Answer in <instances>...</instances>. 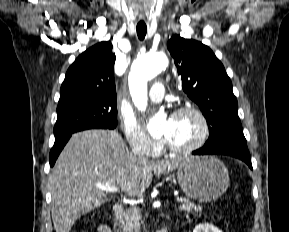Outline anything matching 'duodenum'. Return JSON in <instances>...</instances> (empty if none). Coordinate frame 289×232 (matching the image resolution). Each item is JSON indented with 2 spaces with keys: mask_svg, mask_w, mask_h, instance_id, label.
<instances>
[{
  "mask_svg": "<svg viewBox=\"0 0 289 232\" xmlns=\"http://www.w3.org/2000/svg\"><path fill=\"white\" fill-rule=\"evenodd\" d=\"M123 207L122 205H115L113 208V215H112V228L114 232H121L120 222L123 215ZM158 232H168L167 229H161Z\"/></svg>",
  "mask_w": 289,
  "mask_h": 232,
  "instance_id": "duodenum-1",
  "label": "duodenum"
}]
</instances>
